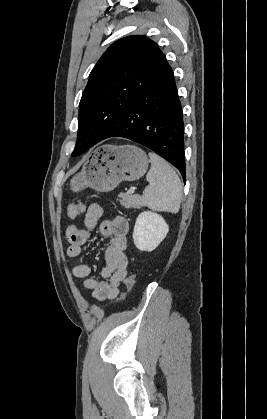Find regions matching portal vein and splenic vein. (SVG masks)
<instances>
[{
	"mask_svg": "<svg viewBox=\"0 0 267 419\" xmlns=\"http://www.w3.org/2000/svg\"><path fill=\"white\" fill-rule=\"evenodd\" d=\"M134 191H135V188H130L129 191H128V193H131L132 194V193H134Z\"/></svg>",
	"mask_w": 267,
	"mask_h": 419,
	"instance_id": "obj_1",
	"label": "portal vein and splenic vein"
}]
</instances>
